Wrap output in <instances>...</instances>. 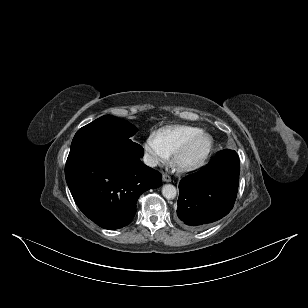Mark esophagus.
<instances>
[{"mask_svg": "<svg viewBox=\"0 0 308 308\" xmlns=\"http://www.w3.org/2000/svg\"><path fill=\"white\" fill-rule=\"evenodd\" d=\"M162 179H163L164 182H171L172 181L170 175H168V174H163Z\"/></svg>", "mask_w": 308, "mask_h": 308, "instance_id": "34e87169", "label": "esophagus"}]
</instances>
